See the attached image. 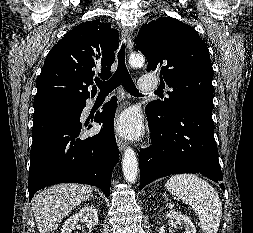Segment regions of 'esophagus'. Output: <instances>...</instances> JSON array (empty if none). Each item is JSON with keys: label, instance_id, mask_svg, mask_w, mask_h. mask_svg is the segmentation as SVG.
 I'll return each instance as SVG.
<instances>
[{"label": "esophagus", "instance_id": "1", "mask_svg": "<svg viewBox=\"0 0 253 233\" xmlns=\"http://www.w3.org/2000/svg\"><path fill=\"white\" fill-rule=\"evenodd\" d=\"M132 35L133 28L132 27H124L122 30V37L127 42V47L131 49L132 47ZM116 142L120 151H123L125 148V142L119 137H116Z\"/></svg>", "mask_w": 253, "mask_h": 233}]
</instances>
